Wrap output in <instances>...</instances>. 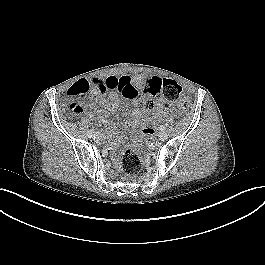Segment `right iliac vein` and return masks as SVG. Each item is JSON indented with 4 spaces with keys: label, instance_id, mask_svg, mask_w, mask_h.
<instances>
[{
    "label": "right iliac vein",
    "instance_id": "63e3f726",
    "mask_svg": "<svg viewBox=\"0 0 265 265\" xmlns=\"http://www.w3.org/2000/svg\"><path fill=\"white\" fill-rule=\"evenodd\" d=\"M93 138H94V140H99L100 139V135L99 134H95Z\"/></svg>",
    "mask_w": 265,
    "mask_h": 265
}]
</instances>
